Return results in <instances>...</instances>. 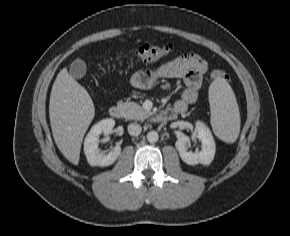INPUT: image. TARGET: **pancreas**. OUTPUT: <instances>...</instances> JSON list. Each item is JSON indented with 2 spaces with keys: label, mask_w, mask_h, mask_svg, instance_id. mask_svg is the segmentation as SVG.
<instances>
[{
  "label": "pancreas",
  "mask_w": 290,
  "mask_h": 236,
  "mask_svg": "<svg viewBox=\"0 0 290 236\" xmlns=\"http://www.w3.org/2000/svg\"><path fill=\"white\" fill-rule=\"evenodd\" d=\"M118 109L124 118L128 120H144L151 116V112L144 110L140 105L135 102H122L117 103Z\"/></svg>",
  "instance_id": "cf45deb5"
}]
</instances>
